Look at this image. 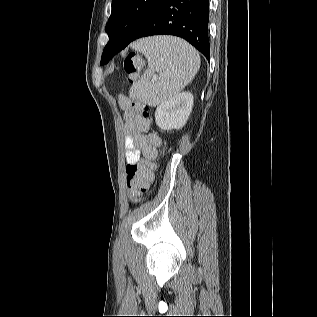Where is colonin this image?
Wrapping results in <instances>:
<instances>
[{
    "mask_svg": "<svg viewBox=\"0 0 317 317\" xmlns=\"http://www.w3.org/2000/svg\"><path fill=\"white\" fill-rule=\"evenodd\" d=\"M140 57L131 52L124 60V69L129 76V81L134 82L141 68ZM150 123L149 108H143L136 119L139 128L146 130ZM152 177L151 166L145 163H136L126 166V185L128 195L132 200H138L146 191L149 181Z\"/></svg>",
    "mask_w": 317,
    "mask_h": 317,
    "instance_id": "5ec220e1",
    "label": "colon"
}]
</instances>
